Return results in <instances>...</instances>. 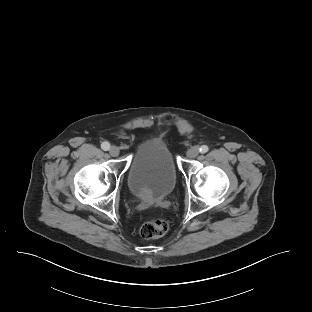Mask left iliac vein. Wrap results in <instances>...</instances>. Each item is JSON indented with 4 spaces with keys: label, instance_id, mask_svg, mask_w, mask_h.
Instances as JSON below:
<instances>
[{
    "label": "left iliac vein",
    "instance_id": "4c4485c4",
    "mask_svg": "<svg viewBox=\"0 0 312 312\" xmlns=\"http://www.w3.org/2000/svg\"><path fill=\"white\" fill-rule=\"evenodd\" d=\"M198 154H199V148L197 146H193L187 151L188 158H195L198 156Z\"/></svg>",
    "mask_w": 312,
    "mask_h": 312
}]
</instances>
